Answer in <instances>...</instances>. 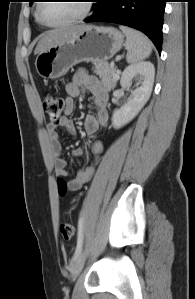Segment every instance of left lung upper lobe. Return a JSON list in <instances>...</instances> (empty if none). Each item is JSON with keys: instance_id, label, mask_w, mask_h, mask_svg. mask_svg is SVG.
Wrapping results in <instances>:
<instances>
[{"instance_id": "left-lung-upper-lobe-1", "label": "left lung upper lobe", "mask_w": 195, "mask_h": 299, "mask_svg": "<svg viewBox=\"0 0 195 299\" xmlns=\"http://www.w3.org/2000/svg\"><path fill=\"white\" fill-rule=\"evenodd\" d=\"M33 2H34V0H30V6L32 5Z\"/></svg>"}]
</instances>
